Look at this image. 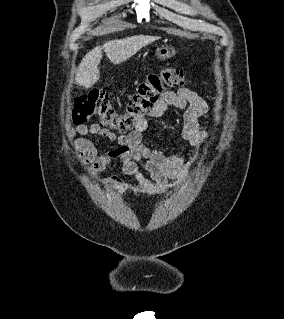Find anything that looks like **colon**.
I'll use <instances>...</instances> for the list:
<instances>
[{
    "mask_svg": "<svg viewBox=\"0 0 284 319\" xmlns=\"http://www.w3.org/2000/svg\"><path fill=\"white\" fill-rule=\"evenodd\" d=\"M187 82V73L183 69L164 67L159 73L149 74L137 85L123 111L115 108L105 90L95 89L76 100L71 120L81 125L97 118L102 127L127 133L139 120L145 119L160 96L185 86Z\"/></svg>",
    "mask_w": 284,
    "mask_h": 319,
    "instance_id": "5ec220e1",
    "label": "colon"
}]
</instances>
